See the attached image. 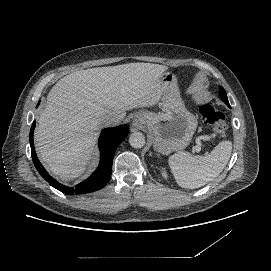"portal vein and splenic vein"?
Segmentation results:
<instances>
[{"label": "portal vein and splenic vein", "instance_id": "obj_1", "mask_svg": "<svg viewBox=\"0 0 271 271\" xmlns=\"http://www.w3.org/2000/svg\"><path fill=\"white\" fill-rule=\"evenodd\" d=\"M192 150H193V152L198 153L201 150V146L197 143H194Z\"/></svg>", "mask_w": 271, "mask_h": 271}]
</instances>
